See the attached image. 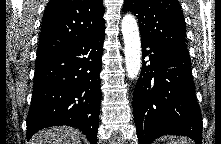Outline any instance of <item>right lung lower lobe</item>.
<instances>
[{"label":"right lung lower lobe","instance_id":"right-lung-lower-lobe-1","mask_svg":"<svg viewBox=\"0 0 221 144\" xmlns=\"http://www.w3.org/2000/svg\"><path fill=\"white\" fill-rule=\"evenodd\" d=\"M104 31L36 60L26 119L28 140L41 129L67 125L79 128L96 144Z\"/></svg>","mask_w":221,"mask_h":144}]
</instances>
